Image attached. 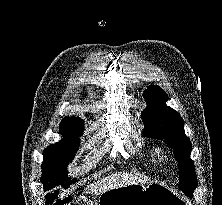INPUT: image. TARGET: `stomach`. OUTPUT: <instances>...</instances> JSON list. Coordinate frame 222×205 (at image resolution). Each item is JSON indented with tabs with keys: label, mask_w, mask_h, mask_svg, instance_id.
I'll return each instance as SVG.
<instances>
[{
	"label": "stomach",
	"mask_w": 222,
	"mask_h": 205,
	"mask_svg": "<svg viewBox=\"0 0 222 205\" xmlns=\"http://www.w3.org/2000/svg\"><path fill=\"white\" fill-rule=\"evenodd\" d=\"M98 205H189L168 186L152 182L130 184L107 190L99 195Z\"/></svg>",
	"instance_id": "stomach-1"
}]
</instances>
